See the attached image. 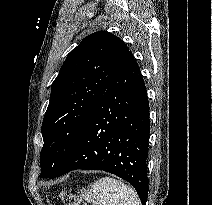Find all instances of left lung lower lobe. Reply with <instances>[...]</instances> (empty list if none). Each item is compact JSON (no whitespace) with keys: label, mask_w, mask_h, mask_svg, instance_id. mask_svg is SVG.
<instances>
[{"label":"left lung lower lobe","mask_w":212,"mask_h":205,"mask_svg":"<svg viewBox=\"0 0 212 205\" xmlns=\"http://www.w3.org/2000/svg\"><path fill=\"white\" fill-rule=\"evenodd\" d=\"M149 132L147 90L128 51L58 176L76 169L104 170L133 185L145 205Z\"/></svg>","instance_id":"left-lung-lower-lobe-1"}]
</instances>
